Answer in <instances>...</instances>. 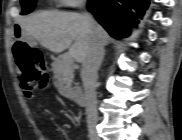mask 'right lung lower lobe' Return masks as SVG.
I'll use <instances>...</instances> for the list:
<instances>
[{"label":"right lung lower lobe","mask_w":182,"mask_h":140,"mask_svg":"<svg viewBox=\"0 0 182 140\" xmlns=\"http://www.w3.org/2000/svg\"><path fill=\"white\" fill-rule=\"evenodd\" d=\"M90 0L87 9L97 21L115 38L130 34L129 23L137 24L149 6V0Z\"/></svg>","instance_id":"98d812e1"}]
</instances>
